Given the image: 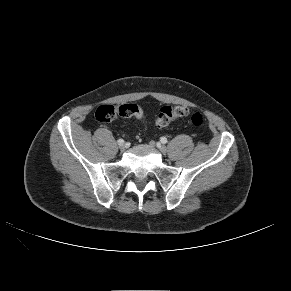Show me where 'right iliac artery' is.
<instances>
[{"instance_id":"1","label":"right iliac artery","mask_w":291,"mask_h":291,"mask_svg":"<svg viewBox=\"0 0 291 291\" xmlns=\"http://www.w3.org/2000/svg\"><path fill=\"white\" fill-rule=\"evenodd\" d=\"M117 142H118L119 145H121V144L124 143V140L123 139H119Z\"/></svg>"}]
</instances>
